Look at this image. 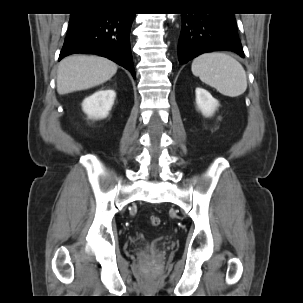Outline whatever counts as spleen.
I'll list each match as a JSON object with an SVG mask.
<instances>
[{
    "label": "spleen",
    "mask_w": 303,
    "mask_h": 303,
    "mask_svg": "<svg viewBox=\"0 0 303 303\" xmlns=\"http://www.w3.org/2000/svg\"><path fill=\"white\" fill-rule=\"evenodd\" d=\"M193 75L228 97H238L247 89V77L242 65L232 56L222 52L205 53L195 58Z\"/></svg>",
    "instance_id": "spleen-1"
}]
</instances>
